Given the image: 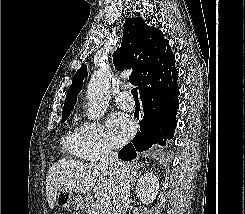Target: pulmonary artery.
<instances>
[{"mask_svg":"<svg viewBox=\"0 0 245 214\" xmlns=\"http://www.w3.org/2000/svg\"><path fill=\"white\" fill-rule=\"evenodd\" d=\"M117 104L125 110L132 111L135 108L133 98L128 91H122L115 97Z\"/></svg>","mask_w":245,"mask_h":214,"instance_id":"1","label":"pulmonary artery"}]
</instances>
